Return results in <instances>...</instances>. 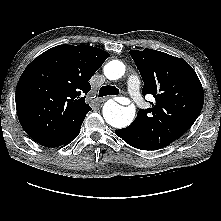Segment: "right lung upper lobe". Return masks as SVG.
<instances>
[{
	"instance_id": "1",
	"label": "right lung upper lobe",
	"mask_w": 221,
	"mask_h": 221,
	"mask_svg": "<svg viewBox=\"0 0 221 221\" xmlns=\"http://www.w3.org/2000/svg\"><path fill=\"white\" fill-rule=\"evenodd\" d=\"M108 57L88 45H59L27 66L17 84L16 109L34 141L58 147L80 131L92 109L84 96L91 90L89 80Z\"/></svg>"
}]
</instances>
